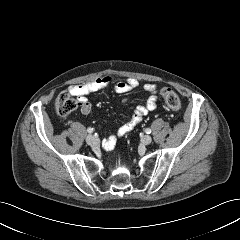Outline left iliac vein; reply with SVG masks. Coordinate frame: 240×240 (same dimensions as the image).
Here are the masks:
<instances>
[{
    "mask_svg": "<svg viewBox=\"0 0 240 240\" xmlns=\"http://www.w3.org/2000/svg\"><path fill=\"white\" fill-rule=\"evenodd\" d=\"M151 142H152V138H151V136H149V135H145V136L142 137V139H141V143H142L143 145H149Z\"/></svg>",
    "mask_w": 240,
    "mask_h": 240,
    "instance_id": "left-iliac-vein-1",
    "label": "left iliac vein"
}]
</instances>
